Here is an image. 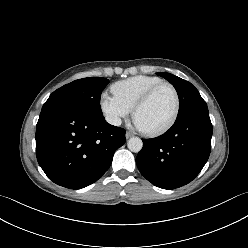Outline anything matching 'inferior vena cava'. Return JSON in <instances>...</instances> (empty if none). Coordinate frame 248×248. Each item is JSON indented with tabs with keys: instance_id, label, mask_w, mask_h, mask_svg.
<instances>
[{
	"instance_id": "obj_1",
	"label": "inferior vena cava",
	"mask_w": 248,
	"mask_h": 248,
	"mask_svg": "<svg viewBox=\"0 0 248 248\" xmlns=\"http://www.w3.org/2000/svg\"><path fill=\"white\" fill-rule=\"evenodd\" d=\"M106 121L111 124V125H114V126H120L122 121L119 117L117 116H113V115H108L106 117Z\"/></svg>"
}]
</instances>
